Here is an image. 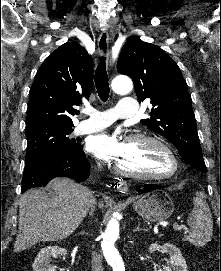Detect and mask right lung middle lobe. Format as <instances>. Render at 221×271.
<instances>
[{"mask_svg":"<svg viewBox=\"0 0 221 271\" xmlns=\"http://www.w3.org/2000/svg\"><path fill=\"white\" fill-rule=\"evenodd\" d=\"M73 126L46 125L26 131L28 149L25 161L55 154H67L79 148V144L67 135Z\"/></svg>","mask_w":221,"mask_h":271,"instance_id":"dd1d6c3e","label":"right lung middle lobe"}]
</instances>
